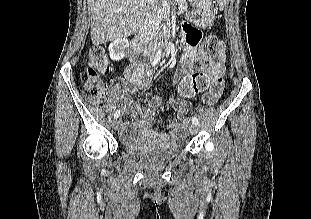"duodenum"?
<instances>
[{
	"label": "duodenum",
	"mask_w": 311,
	"mask_h": 219,
	"mask_svg": "<svg viewBox=\"0 0 311 219\" xmlns=\"http://www.w3.org/2000/svg\"><path fill=\"white\" fill-rule=\"evenodd\" d=\"M146 39V27L143 26L140 31L135 35L133 40L131 41V48L133 49L132 60L139 61V55L144 48V42ZM170 43L169 37L166 39L165 45Z\"/></svg>",
	"instance_id": "410a0bca"
}]
</instances>
